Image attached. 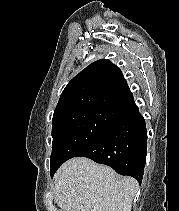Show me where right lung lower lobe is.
<instances>
[{
    "label": "right lung lower lobe",
    "mask_w": 179,
    "mask_h": 211,
    "mask_svg": "<svg viewBox=\"0 0 179 211\" xmlns=\"http://www.w3.org/2000/svg\"><path fill=\"white\" fill-rule=\"evenodd\" d=\"M146 154L145 120L132 100L119 112L110 129L76 157H87L97 163L108 165L121 175L134 177L141 184ZM58 168L50 171L51 177Z\"/></svg>",
    "instance_id": "right-lung-lower-lobe-1"
}]
</instances>
